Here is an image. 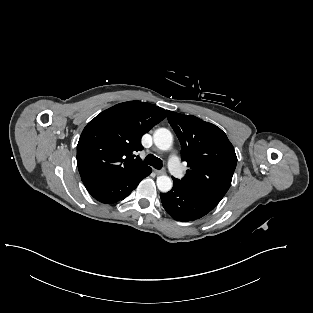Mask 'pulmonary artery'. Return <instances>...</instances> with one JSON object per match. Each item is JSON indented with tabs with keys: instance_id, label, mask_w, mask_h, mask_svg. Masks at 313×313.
<instances>
[{
	"instance_id": "obj_1",
	"label": "pulmonary artery",
	"mask_w": 313,
	"mask_h": 313,
	"mask_svg": "<svg viewBox=\"0 0 313 313\" xmlns=\"http://www.w3.org/2000/svg\"><path fill=\"white\" fill-rule=\"evenodd\" d=\"M169 169L171 173L177 177V178H182L183 177V171L180 165V160L179 157L176 154H172L169 157L168 161Z\"/></svg>"
}]
</instances>
